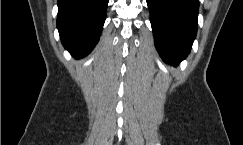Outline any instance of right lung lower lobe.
I'll return each instance as SVG.
<instances>
[{
    "label": "right lung lower lobe",
    "mask_w": 243,
    "mask_h": 145,
    "mask_svg": "<svg viewBox=\"0 0 243 145\" xmlns=\"http://www.w3.org/2000/svg\"><path fill=\"white\" fill-rule=\"evenodd\" d=\"M109 0H58L57 28L74 57L86 56L99 40Z\"/></svg>",
    "instance_id": "obj_1"
}]
</instances>
